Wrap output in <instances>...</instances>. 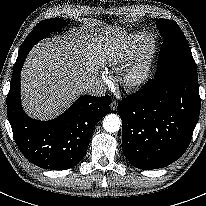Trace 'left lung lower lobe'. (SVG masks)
Returning <instances> with one entry per match:
<instances>
[{"label":"left lung lower lobe","mask_w":206,"mask_h":206,"mask_svg":"<svg viewBox=\"0 0 206 206\" xmlns=\"http://www.w3.org/2000/svg\"><path fill=\"white\" fill-rule=\"evenodd\" d=\"M122 150L143 170L170 165L187 149L200 113L198 76H155L118 105Z\"/></svg>","instance_id":"obj_1"}]
</instances>
